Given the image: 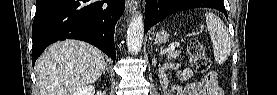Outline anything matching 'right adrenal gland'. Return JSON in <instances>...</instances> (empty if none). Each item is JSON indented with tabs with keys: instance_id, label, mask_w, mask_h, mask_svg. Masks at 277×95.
<instances>
[{
	"instance_id": "right-adrenal-gland-1",
	"label": "right adrenal gland",
	"mask_w": 277,
	"mask_h": 95,
	"mask_svg": "<svg viewBox=\"0 0 277 95\" xmlns=\"http://www.w3.org/2000/svg\"><path fill=\"white\" fill-rule=\"evenodd\" d=\"M105 72L109 73V69H108L107 65H106V68H105L103 74H105Z\"/></svg>"
}]
</instances>
